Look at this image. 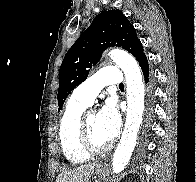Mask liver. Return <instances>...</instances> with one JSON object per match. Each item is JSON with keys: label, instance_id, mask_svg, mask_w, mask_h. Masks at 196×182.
I'll use <instances>...</instances> for the list:
<instances>
[{"label": "liver", "instance_id": "liver-1", "mask_svg": "<svg viewBox=\"0 0 196 182\" xmlns=\"http://www.w3.org/2000/svg\"><path fill=\"white\" fill-rule=\"evenodd\" d=\"M95 166V163H91L66 169L59 174L56 182H88Z\"/></svg>", "mask_w": 196, "mask_h": 182}]
</instances>
